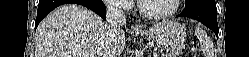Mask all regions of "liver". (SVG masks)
Segmentation results:
<instances>
[{
	"mask_svg": "<svg viewBox=\"0 0 249 57\" xmlns=\"http://www.w3.org/2000/svg\"><path fill=\"white\" fill-rule=\"evenodd\" d=\"M125 42L122 29L110 33L93 11L64 4L39 24L35 57H120Z\"/></svg>",
	"mask_w": 249,
	"mask_h": 57,
	"instance_id": "obj_1",
	"label": "liver"
}]
</instances>
